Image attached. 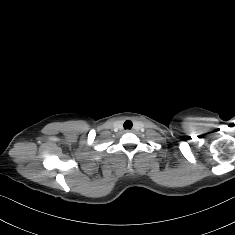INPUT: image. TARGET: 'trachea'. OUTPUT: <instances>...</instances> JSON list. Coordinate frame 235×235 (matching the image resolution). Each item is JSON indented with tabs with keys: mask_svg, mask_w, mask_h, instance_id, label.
<instances>
[{
	"mask_svg": "<svg viewBox=\"0 0 235 235\" xmlns=\"http://www.w3.org/2000/svg\"><path fill=\"white\" fill-rule=\"evenodd\" d=\"M132 122L130 120H127L124 122V128L125 129H131L132 128Z\"/></svg>",
	"mask_w": 235,
	"mask_h": 235,
	"instance_id": "trachea-1",
	"label": "trachea"
}]
</instances>
